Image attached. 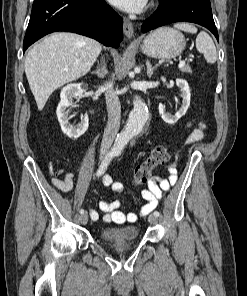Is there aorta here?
I'll list each match as a JSON object with an SVG mask.
<instances>
[{"instance_id":"762f6f07","label":"aorta","mask_w":247,"mask_h":296,"mask_svg":"<svg viewBox=\"0 0 247 296\" xmlns=\"http://www.w3.org/2000/svg\"><path fill=\"white\" fill-rule=\"evenodd\" d=\"M148 118L149 114L146 104L139 96H135L133 100V110L129 114L125 128L116 138L115 148L123 149L133 136L140 134Z\"/></svg>"}]
</instances>
